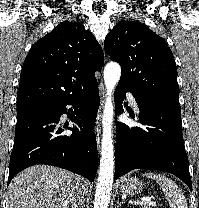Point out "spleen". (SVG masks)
<instances>
[{
    "label": "spleen",
    "mask_w": 199,
    "mask_h": 208,
    "mask_svg": "<svg viewBox=\"0 0 199 208\" xmlns=\"http://www.w3.org/2000/svg\"><path fill=\"white\" fill-rule=\"evenodd\" d=\"M143 176L155 180L161 187L171 208H188L185 196L178 185L163 174L145 173Z\"/></svg>",
    "instance_id": "1"
}]
</instances>
